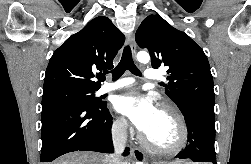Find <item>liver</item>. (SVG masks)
Segmentation results:
<instances>
[{
    "label": "liver",
    "instance_id": "obj_1",
    "mask_svg": "<svg viewBox=\"0 0 251 164\" xmlns=\"http://www.w3.org/2000/svg\"><path fill=\"white\" fill-rule=\"evenodd\" d=\"M110 156L94 152H73L57 159L53 164H109ZM174 164L182 163L175 161ZM127 164V163H122ZM189 164V163H187Z\"/></svg>",
    "mask_w": 251,
    "mask_h": 164
}]
</instances>
